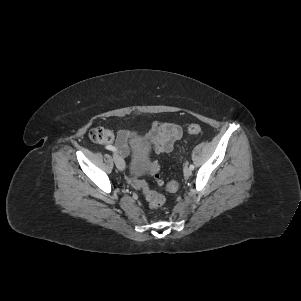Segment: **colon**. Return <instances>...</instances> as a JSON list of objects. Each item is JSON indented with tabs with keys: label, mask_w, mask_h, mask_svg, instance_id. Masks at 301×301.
Listing matches in <instances>:
<instances>
[{
	"label": "colon",
	"mask_w": 301,
	"mask_h": 301,
	"mask_svg": "<svg viewBox=\"0 0 301 301\" xmlns=\"http://www.w3.org/2000/svg\"><path fill=\"white\" fill-rule=\"evenodd\" d=\"M201 126L198 124H191L187 127L189 134H198L201 132ZM90 139L99 144L110 143L113 140V134L108 129L94 128L89 133ZM151 172L154 178L157 180L159 186H163V182L159 179L160 165L157 161L150 163ZM179 188V183L171 181L166 185V189L170 192H175ZM143 194L148 201L149 205L153 208L160 207L164 203V197L158 192L151 189L149 184L142 185Z\"/></svg>",
	"instance_id": "1"
}]
</instances>
